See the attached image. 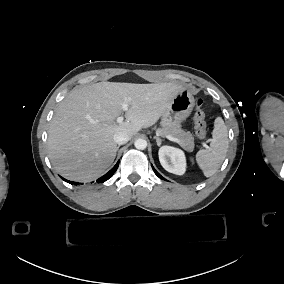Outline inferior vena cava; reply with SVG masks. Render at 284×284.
Instances as JSON below:
<instances>
[{
    "instance_id": "obj_1",
    "label": "inferior vena cava",
    "mask_w": 284,
    "mask_h": 284,
    "mask_svg": "<svg viewBox=\"0 0 284 284\" xmlns=\"http://www.w3.org/2000/svg\"><path fill=\"white\" fill-rule=\"evenodd\" d=\"M113 139L117 144L122 145V144L127 143L130 137L127 133L118 132L114 135Z\"/></svg>"
}]
</instances>
